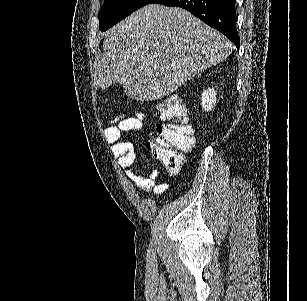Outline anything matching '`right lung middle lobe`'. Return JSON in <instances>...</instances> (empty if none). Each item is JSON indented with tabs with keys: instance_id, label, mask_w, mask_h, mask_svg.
Masks as SVG:
<instances>
[{
	"instance_id": "right-lung-middle-lobe-1",
	"label": "right lung middle lobe",
	"mask_w": 307,
	"mask_h": 301,
	"mask_svg": "<svg viewBox=\"0 0 307 301\" xmlns=\"http://www.w3.org/2000/svg\"><path fill=\"white\" fill-rule=\"evenodd\" d=\"M154 0H105L100 12L99 29L106 31L140 7Z\"/></svg>"
}]
</instances>
